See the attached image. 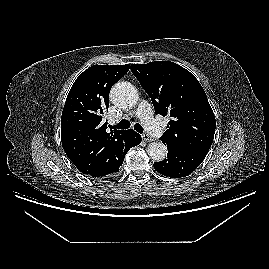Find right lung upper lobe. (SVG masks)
<instances>
[{
	"label": "right lung upper lobe",
	"mask_w": 269,
	"mask_h": 269,
	"mask_svg": "<svg viewBox=\"0 0 269 269\" xmlns=\"http://www.w3.org/2000/svg\"><path fill=\"white\" fill-rule=\"evenodd\" d=\"M130 65H94L72 85L61 117V141L66 155L83 174L94 178L113 173L120 158L124 132L108 133L103 111L109 106L111 87Z\"/></svg>",
	"instance_id": "right-lung-upper-lobe-1"
}]
</instances>
